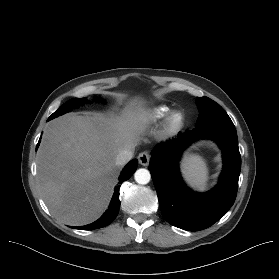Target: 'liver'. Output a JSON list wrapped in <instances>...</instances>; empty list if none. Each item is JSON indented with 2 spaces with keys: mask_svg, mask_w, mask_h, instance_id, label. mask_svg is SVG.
I'll use <instances>...</instances> for the list:
<instances>
[{
  "mask_svg": "<svg viewBox=\"0 0 279 279\" xmlns=\"http://www.w3.org/2000/svg\"><path fill=\"white\" fill-rule=\"evenodd\" d=\"M148 124V112L137 99L120 115L66 114L52 120L37 155V177L50 212L74 226L98 219L120 173L118 153L134 149Z\"/></svg>",
  "mask_w": 279,
  "mask_h": 279,
  "instance_id": "1",
  "label": "liver"
}]
</instances>
